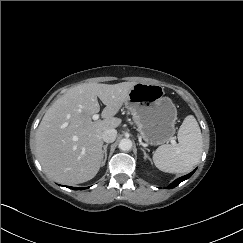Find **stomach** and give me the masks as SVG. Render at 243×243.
Here are the masks:
<instances>
[{
    "label": "stomach",
    "instance_id": "1",
    "mask_svg": "<svg viewBox=\"0 0 243 243\" xmlns=\"http://www.w3.org/2000/svg\"><path fill=\"white\" fill-rule=\"evenodd\" d=\"M164 94L159 84L137 82L125 102L140 136L152 146L168 142L176 132L177 109Z\"/></svg>",
    "mask_w": 243,
    "mask_h": 243
}]
</instances>
